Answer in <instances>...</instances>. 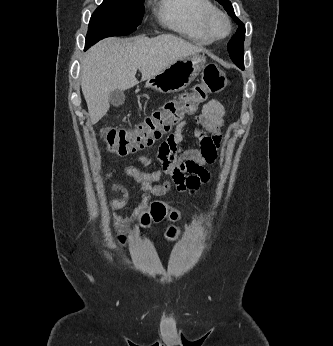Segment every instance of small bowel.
I'll return each instance as SVG.
<instances>
[{
	"instance_id": "1",
	"label": "small bowel",
	"mask_w": 333,
	"mask_h": 346,
	"mask_svg": "<svg viewBox=\"0 0 333 346\" xmlns=\"http://www.w3.org/2000/svg\"><path fill=\"white\" fill-rule=\"evenodd\" d=\"M224 106L217 100L208 101L197 116L200 128L193 131L192 136L198 139L199 147L190 148L179 154L185 142L184 130L188 124L187 119L181 120L175 127L174 133L162 142L157 149V158L161 164L158 171H144L133 166H123L107 174L111 177L115 172H122L137 182L144 191L139 209L143 208L150 195L164 196L173 188L179 192L194 194L200 186L209 180L207 166L214 163L220 147L225 116ZM138 161L144 167L151 164L149 154L140 155ZM163 176L168 178L161 184H154ZM112 191L120 192L122 197L110 204L112 210L125 206L128 200L126 189L119 183L112 186ZM131 219L119 220L114 217V224L118 231H123ZM121 243L119 240L116 242ZM128 246V241H123Z\"/></svg>"
}]
</instances>
